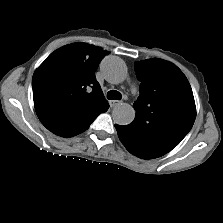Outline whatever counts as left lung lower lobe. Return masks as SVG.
<instances>
[{
	"label": "left lung lower lobe",
	"mask_w": 223,
	"mask_h": 223,
	"mask_svg": "<svg viewBox=\"0 0 223 223\" xmlns=\"http://www.w3.org/2000/svg\"><path fill=\"white\" fill-rule=\"evenodd\" d=\"M115 127L121 142L131 154L142 159H153L163 155L147 148L130 144L127 136L123 133L122 126L116 124Z\"/></svg>",
	"instance_id": "left-lung-lower-lobe-1"
}]
</instances>
